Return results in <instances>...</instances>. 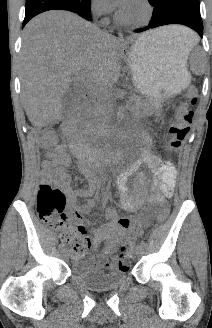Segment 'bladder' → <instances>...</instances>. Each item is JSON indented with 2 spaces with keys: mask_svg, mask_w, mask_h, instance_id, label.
<instances>
[{
  "mask_svg": "<svg viewBox=\"0 0 212 328\" xmlns=\"http://www.w3.org/2000/svg\"><path fill=\"white\" fill-rule=\"evenodd\" d=\"M71 271L76 280L87 289L93 291H107L121 286L127 280L125 270H112L100 273L90 267L87 259L77 258L73 260Z\"/></svg>",
  "mask_w": 212,
  "mask_h": 328,
  "instance_id": "31cf9c89",
  "label": "bladder"
}]
</instances>
